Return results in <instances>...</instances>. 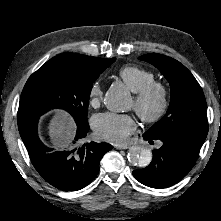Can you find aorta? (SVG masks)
Returning a JSON list of instances; mask_svg holds the SVG:
<instances>
[{"label":"aorta","mask_w":221,"mask_h":221,"mask_svg":"<svg viewBox=\"0 0 221 221\" xmlns=\"http://www.w3.org/2000/svg\"><path fill=\"white\" fill-rule=\"evenodd\" d=\"M105 105L113 112H124L130 105V93L123 85L112 86L105 95ZM128 161L137 167H147L152 161V152L143 146H131Z\"/></svg>","instance_id":"762f6f07"}]
</instances>
